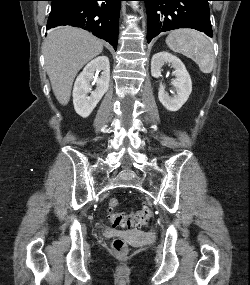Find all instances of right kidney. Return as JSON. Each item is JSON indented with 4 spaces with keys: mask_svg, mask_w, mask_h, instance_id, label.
<instances>
[{
    "mask_svg": "<svg viewBox=\"0 0 250 285\" xmlns=\"http://www.w3.org/2000/svg\"><path fill=\"white\" fill-rule=\"evenodd\" d=\"M101 72L100 77L98 73ZM94 80L96 89L91 91L90 82ZM110 82V63L106 56H99L90 61L77 77L73 88V104L78 115L88 117L103 95ZM90 93V96H88Z\"/></svg>",
    "mask_w": 250,
    "mask_h": 285,
    "instance_id": "1",
    "label": "right kidney"
}]
</instances>
